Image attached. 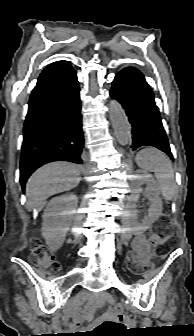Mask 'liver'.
I'll return each mask as SVG.
<instances>
[{"instance_id":"liver-1","label":"liver","mask_w":194,"mask_h":336,"mask_svg":"<svg viewBox=\"0 0 194 336\" xmlns=\"http://www.w3.org/2000/svg\"><path fill=\"white\" fill-rule=\"evenodd\" d=\"M80 181V167L76 164L60 161L42 166L26 184L27 209L33 210L50 196L75 188Z\"/></svg>"}]
</instances>
